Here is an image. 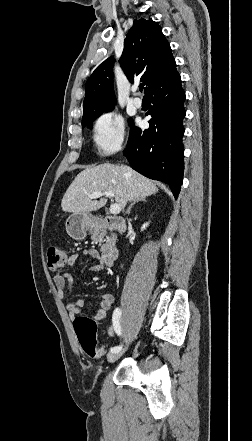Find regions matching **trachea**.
I'll return each mask as SVG.
<instances>
[{
  "label": "trachea",
  "mask_w": 252,
  "mask_h": 441,
  "mask_svg": "<svg viewBox=\"0 0 252 441\" xmlns=\"http://www.w3.org/2000/svg\"><path fill=\"white\" fill-rule=\"evenodd\" d=\"M143 88H144V86H143V85H140V86H139V91H143Z\"/></svg>",
  "instance_id": "3493384b"
}]
</instances>
